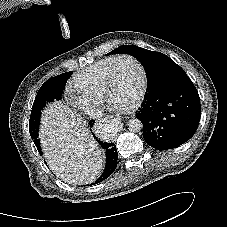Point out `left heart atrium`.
Masks as SVG:
<instances>
[{"mask_svg": "<svg viewBox=\"0 0 227 227\" xmlns=\"http://www.w3.org/2000/svg\"><path fill=\"white\" fill-rule=\"evenodd\" d=\"M127 106V105H126ZM126 106H116L118 109H126Z\"/></svg>", "mask_w": 227, "mask_h": 227, "instance_id": "39dd6f15", "label": "left heart atrium"}]
</instances>
